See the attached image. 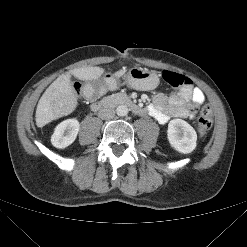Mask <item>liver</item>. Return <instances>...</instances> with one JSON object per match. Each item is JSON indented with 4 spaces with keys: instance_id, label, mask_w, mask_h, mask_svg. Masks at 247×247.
I'll use <instances>...</instances> for the list:
<instances>
[{
    "instance_id": "1",
    "label": "liver",
    "mask_w": 247,
    "mask_h": 247,
    "mask_svg": "<svg viewBox=\"0 0 247 247\" xmlns=\"http://www.w3.org/2000/svg\"><path fill=\"white\" fill-rule=\"evenodd\" d=\"M126 69L113 74L115 78L122 77ZM104 73L101 67H82L73 69L59 76L43 93L40 98L35 120L38 127L71 114L77 106V94L71 83V75L83 81L98 80Z\"/></svg>"
}]
</instances>
